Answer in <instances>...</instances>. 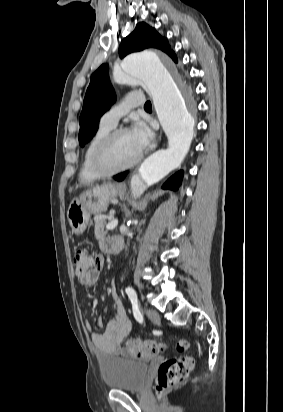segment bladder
Here are the masks:
<instances>
[{"label": "bladder", "instance_id": "bladder-1", "mask_svg": "<svg viewBox=\"0 0 283 412\" xmlns=\"http://www.w3.org/2000/svg\"><path fill=\"white\" fill-rule=\"evenodd\" d=\"M148 369L149 364L139 360L108 357L100 362L103 383L113 390L141 391L147 382Z\"/></svg>", "mask_w": 283, "mask_h": 412}]
</instances>
